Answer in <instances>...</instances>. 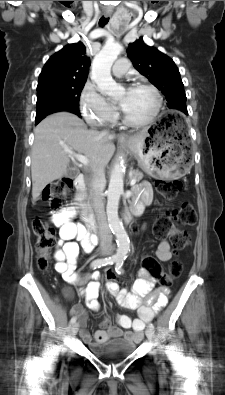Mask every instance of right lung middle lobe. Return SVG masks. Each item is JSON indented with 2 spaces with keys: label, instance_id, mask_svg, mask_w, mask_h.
I'll return each instance as SVG.
<instances>
[{
  "label": "right lung middle lobe",
  "instance_id": "obj_1",
  "mask_svg": "<svg viewBox=\"0 0 225 395\" xmlns=\"http://www.w3.org/2000/svg\"><path fill=\"white\" fill-rule=\"evenodd\" d=\"M85 82H51L38 85L36 118H42L64 107L79 108V98Z\"/></svg>",
  "mask_w": 225,
  "mask_h": 395
}]
</instances>
